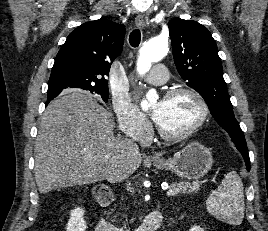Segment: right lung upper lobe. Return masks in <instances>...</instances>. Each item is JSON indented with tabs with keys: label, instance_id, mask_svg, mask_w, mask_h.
<instances>
[{
	"label": "right lung upper lobe",
	"instance_id": "1",
	"mask_svg": "<svg viewBox=\"0 0 268 231\" xmlns=\"http://www.w3.org/2000/svg\"><path fill=\"white\" fill-rule=\"evenodd\" d=\"M125 28L110 20L86 22L74 29L58 52L48 89H108L106 76L123 49ZM58 94H48L49 103Z\"/></svg>",
	"mask_w": 268,
	"mask_h": 231
}]
</instances>
